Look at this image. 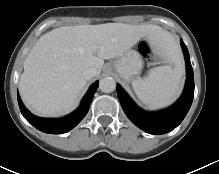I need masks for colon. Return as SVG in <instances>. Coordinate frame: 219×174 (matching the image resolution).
Listing matches in <instances>:
<instances>
[{"label":"colon","mask_w":219,"mask_h":174,"mask_svg":"<svg viewBox=\"0 0 219 174\" xmlns=\"http://www.w3.org/2000/svg\"><path fill=\"white\" fill-rule=\"evenodd\" d=\"M140 50L143 55L147 56V58L151 61L150 53H151V47L148 42H142L140 44Z\"/></svg>","instance_id":"5ec220e1"}]
</instances>
